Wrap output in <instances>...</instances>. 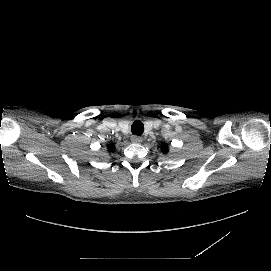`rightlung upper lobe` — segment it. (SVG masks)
<instances>
[{"label": "right lung upper lobe", "mask_w": 271, "mask_h": 271, "mask_svg": "<svg viewBox=\"0 0 271 271\" xmlns=\"http://www.w3.org/2000/svg\"><path fill=\"white\" fill-rule=\"evenodd\" d=\"M108 149L111 150V151H113L114 146H113V145H109V146H108Z\"/></svg>", "instance_id": "1"}]
</instances>
